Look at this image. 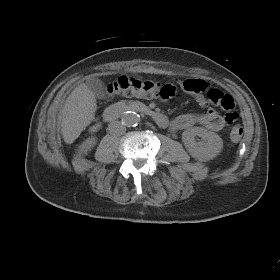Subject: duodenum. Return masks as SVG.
Listing matches in <instances>:
<instances>
[{
	"instance_id": "1",
	"label": "duodenum",
	"mask_w": 280,
	"mask_h": 280,
	"mask_svg": "<svg viewBox=\"0 0 280 280\" xmlns=\"http://www.w3.org/2000/svg\"><path fill=\"white\" fill-rule=\"evenodd\" d=\"M126 111L144 113L151 117L160 127H166L169 123V119L164 114L149 109L141 103H120L109 106L103 113V119L106 122H112Z\"/></svg>"
}]
</instances>
